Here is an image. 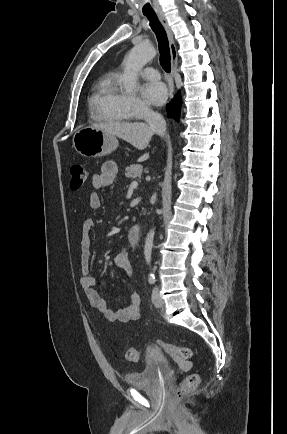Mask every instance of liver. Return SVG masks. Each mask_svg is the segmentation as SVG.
<instances>
[{
    "label": "liver",
    "instance_id": "1",
    "mask_svg": "<svg viewBox=\"0 0 287 434\" xmlns=\"http://www.w3.org/2000/svg\"><path fill=\"white\" fill-rule=\"evenodd\" d=\"M92 127L106 131L107 133L117 136L139 150H143L149 144L152 136L156 133L148 124L144 122H104L93 124ZM149 154L146 153L140 157L139 161L146 160Z\"/></svg>",
    "mask_w": 287,
    "mask_h": 434
}]
</instances>
